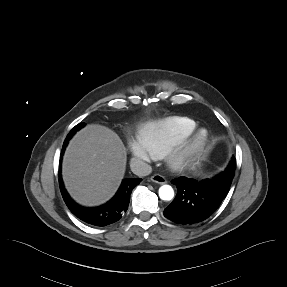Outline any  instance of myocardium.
Instances as JSON below:
<instances>
[{"label": "myocardium", "mask_w": 287, "mask_h": 287, "mask_svg": "<svg viewBox=\"0 0 287 287\" xmlns=\"http://www.w3.org/2000/svg\"><path fill=\"white\" fill-rule=\"evenodd\" d=\"M210 143V134L205 129L194 131L188 138L167 152L166 162L173 171H182L198 163Z\"/></svg>", "instance_id": "f54148a6"}]
</instances>
